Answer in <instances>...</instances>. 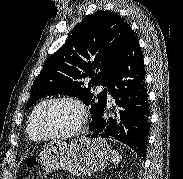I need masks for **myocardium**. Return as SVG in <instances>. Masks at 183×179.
I'll use <instances>...</instances> for the list:
<instances>
[{
	"instance_id": "obj_1",
	"label": "myocardium",
	"mask_w": 183,
	"mask_h": 179,
	"mask_svg": "<svg viewBox=\"0 0 183 179\" xmlns=\"http://www.w3.org/2000/svg\"><path fill=\"white\" fill-rule=\"evenodd\" d=\"M57 102H68L76 106L80 113V119L78 124L70 131L64 132V133H49L47 132L43 127V118L46 113V111L49 109L51 105ZM88 121V113L86 110L85 105L83 102L75 97L72 96H58L54 97L52 99H49L44 103L41 110L39 111V114L37 116V129L40 132V134L44 138L49 139H65V138H71L80 133L83 128L85 127L86 123Z\"/></svg>"
}]
</instances>
